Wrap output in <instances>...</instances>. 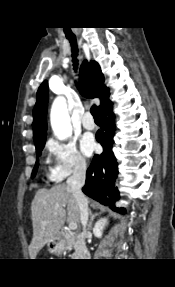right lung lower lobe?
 <instances>
[{
    "label": "right lung lower lobe",
    "mask_w": 175,
    "mask_h": 287,
    "mask_svg": "<svg viewBox=\"0 0 175 287\" xmlns=\"http://www.w3.org/2000/svg\"><path fill=\"white\" fill-rule=\"evenodd\" d=\"M101 131L96 134L97 141L103 146V153L95 155L86 173V184L83 192L110 207L118 213H125L124 208H117L115 201L119 199V191L114 188L118 174L117 162L112 152L114 135V114L112 105L100 112Z\"/></svg>",
    "instance_id": "obj_1"
}]
</instances>
